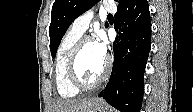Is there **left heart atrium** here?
Wrapping results in <instances>:
<instances>
[{
  "label": "left heart atrium",
  "instance_id": "39dd6f15",
  "mask_svg": "<svg viewBox=\"0 0 193 112\" xmlns=\"http://www.w3.org/2000/svg\"><path fill=\"white\" fill-rule=\"evenodd\" d=\"M99 53L105 58L106 56V42L104 39H99L95 42Z\"/></svg>",
  "mask_w": 193,
  "mask_h": 112
}]
</instances>
